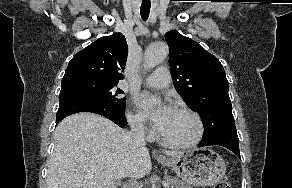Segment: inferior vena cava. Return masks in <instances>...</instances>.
Instances as JSON below:
<instances>
[{
	"label": "inferior vena cava",
	"mask_w": 292,
	"mask_h": 188,
	"mask_svg": "<svg viewBox=\"0 0 292 188\" xmlns=\"http://www.w3.org/2000/svg\"><path fill=\"white\" fill-rule=\"evenodd\" d=\"M131 131L127 133V139L131 145L142 147L145 146V131L142 120L137 119L130 122ZM123 188H128L124 186Z\"/></svg>",
	"instance_id": "inferior-vena-cava-1"
}]
</instances>
